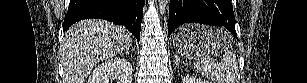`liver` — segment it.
Segmentation results:
<instances>
[{
  "label": "liver",
  "mask_w": 307,
  "mask_h": 83,
  "mask_svg": "<svg viewBox=\"0 0 307 83\" xmlns=\"http://www.w3.org/2000/svg\"><path fill=\"white\" fill-rule=\"evenodd\" d=\"M129 31L104 20H82L71 26L61 44L63 83H85L101 60L121 54L131 47Z\"/></svg>",
  "instance_id": "1"
}]
</instances>
